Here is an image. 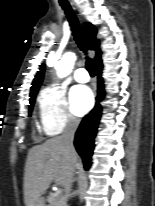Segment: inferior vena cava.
Wrapping results in <instances>:
<instances>
[{
  "instance_id": "inferior-vena-cava-1",
  "label": "inferior vena cava",
  "mask_w": 155,
  "mask_h": 206,
  "mask_svg": "<svg viewBox=\"0 0 155 206\" xmlns=\"http://www.w3.org/2000/svg\"><path fill=\"white\" fill-rule=\"evenodd\" d=\"M78 125H79V121L76 118L69 117L67 124H66V127L64 129V132L61 136V139L64 143L65 149L70 154H72L75 151L74 146H73V140H74V134L78 128ZM72 177H73V173L65 185V191L67 194L71 190Z\"/></svg>"
}]
</instances>
